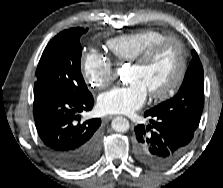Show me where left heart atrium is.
I'll list each match as a JSON object with an SVG mask.
<instances>
[{
	"instance_id": "obj_1",
	"label": "left heart atrium",
	"mask_w": 223,
	"mask_h": 188,
	"mask_svg": "<svg viewBox=\"0 0 223 188\" xmlns=\"http://www.w3.org/2000/svg\"><path fill=\"white\" fill-rule=\"evenodd\" d=\"M148 92L139 81H130L99 95L97 108L103 114H129L146 101Z\"/></svg>"
}]
</instances>
